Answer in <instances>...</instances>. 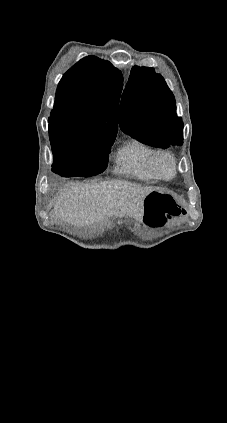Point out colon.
Here are the masks:
<instances>
[{
  "label": "colon",
  "mask_w": 227,
  "mask_h": 423,
  "mask_svg": "<svg viewBox=\"0 0 227 423\" xmlns=\"http://www.w3.org/2000/svg\"><path fill=\"white\" fill-rule=\"evenodd\" d=\"M181 212L174 199L165 191H152L145 200V218L151 225H160L166 218Z\"/></svg>",
  "instance_id": "colon-1"
}]
</instances>
